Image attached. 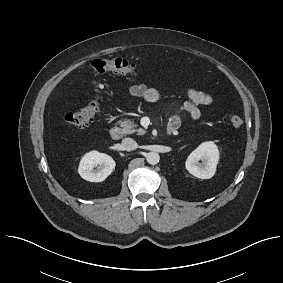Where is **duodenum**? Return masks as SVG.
Listing matches in <instances>:
<instances>
[{"instance_id":"410a0bca","label":"duodenum","mask_w":283,"mask_h":283,"mask_svg":"<svg viewBox=\"0 0 283 283\" xmlns=\"http://www.w3.org/2000/svg\"><path fill=\"white\" fill-rule=\"evenodd\" d=\"M174 131H175L174 127L168 126V128H167V134L168 135H172ZM109 134H110L111 138L119 139L122 135V132H121V129L118 126H112L109 129Z\"/></svg>"}]
</instances>
